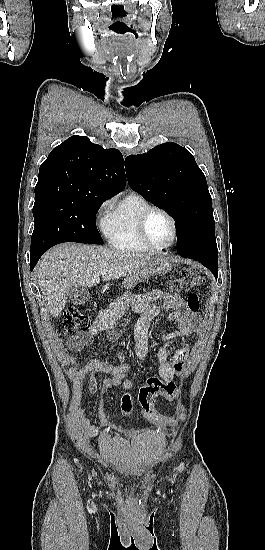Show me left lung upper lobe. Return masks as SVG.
I'll return each instance as SVG.
<instances>
[{"instance_id":"1","label":"left lung upper lobe","mask_w":265,"mask_h":550,"mask_svg":"<svg viewBox=\"0 0 265 550\" xmlns=\"http://www.w3.org/2000/svg\"><path fill=\"white\" fill-rule=\"evenodd\" d=\"M130 187L175 220L179 255L211 250L218 255L212 199L193 155L168 142L125 159Z\"/></svg>"}]
</instances>
